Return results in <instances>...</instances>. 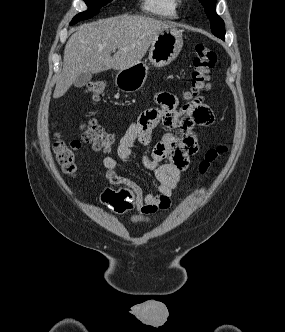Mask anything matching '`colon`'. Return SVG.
I'll use <instances>...</instances> for the list:
<instances>
[{
    "mask_svg": "<svg viewBox=\"0 0 285 332\" xmlns=\"http://www.w3.org/2000/svg\"><path fill=\"white\" fill-rule=\"evenodd\" d=\"M217 62V54L205 44L198 43L194 49L193 72L191 89L188 92L189 97H196L210 90L211 71ZM107 83L99 79L90 82L86 86V92L93 101H99L103 98ZM84 142L89 143L94 149L99 151H109L114 143V136L106 132L93 118L82 125ZM80 142L76 140L66 141L57 137L53 150L56 160L62 171L68 175H75L78 166V150ZM226 151L225 147H218L207 151L204 160L201 162L199 170L201 174H206L216 159Z\"/></svg>",
    "mask_w": 285,
    "mask_h": 332,
    "instance_id": "obj_1",
    "label": "colon"
}]
</instances>
